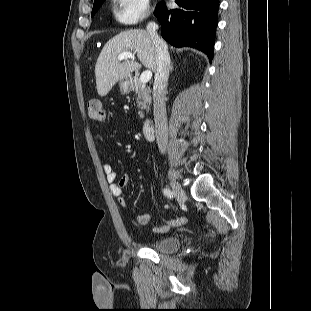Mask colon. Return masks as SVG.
I'll use <instances>...</instances> for the list:
<instances>
[{
	"mask_svg": "<svg viewBox=\"0 0 311 311\" xmlns=\"http://www.w3.org/2000/svg\"><path fill=\"white\" fill-rule=\"evenodd\" d=\"M87 114L91 121H101L103 119V107L101 101L98 99L89 100Z\"/></svg>",
	"mask_w": 311,
	"mask_h": 311,
	"instance_id": "5ec220e1",
	"label": "colon"
}]
</instances>
